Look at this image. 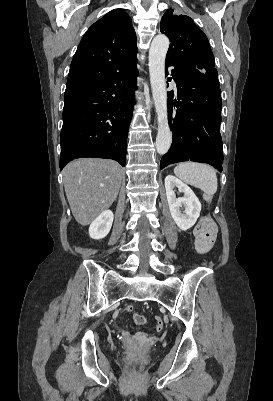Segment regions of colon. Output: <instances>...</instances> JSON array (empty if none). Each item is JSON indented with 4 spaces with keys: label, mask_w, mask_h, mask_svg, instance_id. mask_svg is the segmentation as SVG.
Segmentation results:
<instances>
[{
    "label": "colon",
    "mask_w": 273,
    "mask_h": 401,
    "mask_svg": "<svg viewBox=\"0 0 273 401\" xmlns=\"http://www.w3.org/2000/svg\"><path fill=\"white\" fill-rule=\"evenodd\" d=\"M200 226L205 229L207 232H199L198 240L199 241H212L215 239V230L216 226L212 219L207 218L200 222ZM134 321L136 324H143L145 321V315L143 312H136L134 315ZM133 372H136V369H133Z\"/></svg>",
    "instance_id": "obj_1"
}]
</instances>
